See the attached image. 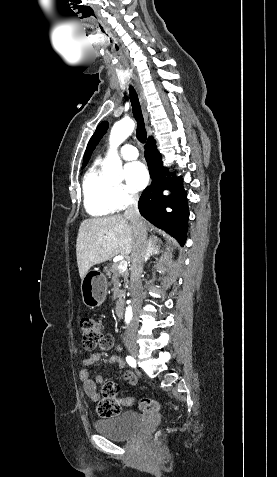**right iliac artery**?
Segmentation results:
<instances>
[{"label":"right iliac artery","mask_w":277,"mask_h":477,"mask_svg":"<svg viewBox=\"0 0 277 477\" xmlns=\"http://www.w3.org/2000/svg\"><path fill=\"white\" fill-rule=\"evenodd\" d=\"M126 361L127 363L132 366V367H135L136 366V361L134 360V358H132L131 356H127L126 357Z\"/></svg>","instance_id":"obj_1"}]
</instances>
